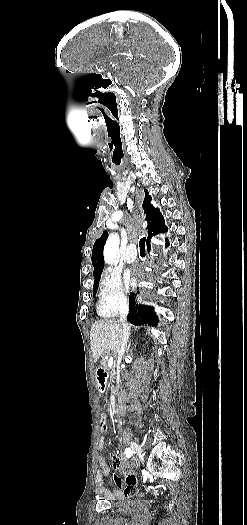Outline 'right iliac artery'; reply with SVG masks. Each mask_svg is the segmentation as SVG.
Returning a JSON list of instances; mask_svg holds the SVG:
<instances>
[{
	"label": "right iliac artery",
	"mask_w": 247,
	"mask_h": 525,
	"mask_svg": "<svg viewBox=\"0 0 247 525\" xmlns=\"http://www.w3.org/2000/svg\"><path fill=\"white\" fill-rule=\"evenodd\" d=\"M125 454H126V457H127V458H130L131 455H132V450H131L130 448H126V449H125Z\"/></svg>",
	"instance_id": "1"
}]
</instances>
